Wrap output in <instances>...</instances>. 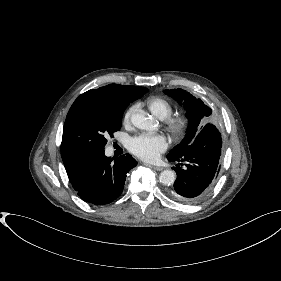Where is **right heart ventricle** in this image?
Listing matches in <instances>:
<instances>
[{
	"label": "right heart ventricle",
	"instance_id": "1",
	"mask_svg": "<svg viewBox=\"0 0 281 281\" xmlns=\"http://www.w3.org/2000/svg\"><path fill=\"white\" fill-rule=\"evenodd\" d=\"M148 109L159 119H164L172 113V105L164 98L151 97L146 102Z\"/></svg>",
	"mask_w": 281,
	"mask_h": 281
}]
</instances>
